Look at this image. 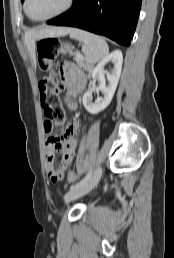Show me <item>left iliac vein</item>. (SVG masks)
I'll list each match as a JSON object with an SVG mask.
<instances>
[{
  "instance_id": "1",
  "label": "left iliac vein",
  "mask_w": 174,
  "mask_h": 258,
  "mask_svg": "<svg viewBox=\"0 0 174 258\" xmlns=\"http://www.w3.org/2000/svg\"><path fill=\"white\" fill-rule=\"evenodd\" d=\"M101 174H102V168L99 166L95 170L93 176L89 179V181L86 184L70 190L64 196V202L68 204L69 202L74 201L80 198L81 196H84L87 193H89L97 185L98 181L100 180Z\"/></svg>"
}]
</instances>
